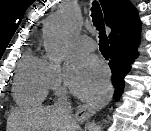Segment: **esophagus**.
<instances>
[{"instance_id":"34e87169","label":"esophagus","mask_w":151,"mask_h":131,"mask_svg":"<svg viewBox=\"0 0 151 131\" xmlns=\"http://www.w3.org/2000/svg\"><path fill=\"white\" fill-rule=\"evenodd\" d=\"M113 94V87L109 85L106 90L97 98L93 99L89 103L81 106L77 112L76 117L79 121H85L91 117L94 113L105 107L111 100Z\"/></svg>"}]
</instances>
